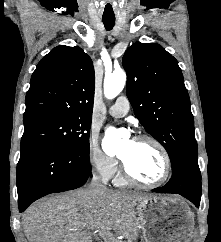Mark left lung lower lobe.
<instances>
[{
	"label": "left lung lower lobe",
	"mask_w": 221,
	"mask_h": 242,
	"mask_svg": "<svg viewBox=\"0 0 221 242\" xmlns=\"http://www.w3.org/2000/svg\"><path fill=\"white\" fill-rule=\"evenodd\" d=\"M156 193L180 194L193 202L196 207L201 199V175L197 160H189L177 168L169 182L160 188L153 189Z\"/></svg>",
	"instance_id": "obj_1"
}]
</instances>
